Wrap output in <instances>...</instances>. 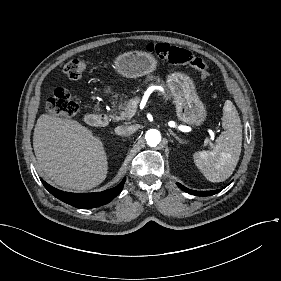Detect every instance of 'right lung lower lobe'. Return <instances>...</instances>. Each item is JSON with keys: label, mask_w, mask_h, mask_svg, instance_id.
Wrapping results in <instances>:
<instances>
[{"label": "right lung lower lobe", "mask_w": 281, "mask_h": 281, "mask_svg": "<svg viewBox=\"0 0 281 281\" xmlns=\"http://www.w3.org/2000/svg\"><path fill=\"white\" fill-rule=\"evenodd\" d=\"M45 188L56 198L76 208L89 209L109 203L123 189L125 179L111 189L97 193H70L58 190L42 180Z\"/></svg>", "instance_id": "98d812e1"}]
</instances>
